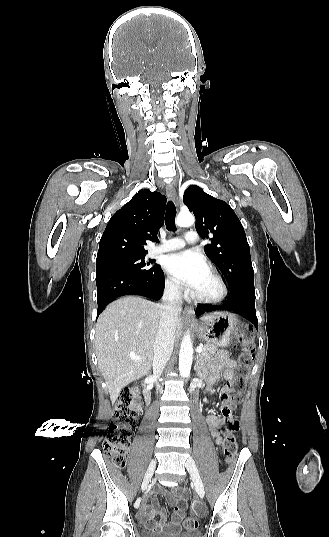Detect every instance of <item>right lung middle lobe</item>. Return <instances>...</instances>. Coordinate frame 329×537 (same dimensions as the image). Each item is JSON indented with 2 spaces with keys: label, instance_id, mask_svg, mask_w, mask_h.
I'll return each instance as SVG.
<instances>
[{
  "label": "right lung middle lobe",
  "instance_id": "right-lung-middle-lobe-1",
  "mask_svg": "<svg viewBox=\"0 0 329 537\" xmlns=\"http://www.w3.org/2000/svg\"><path fill=\"white\" fill-rule=\"evenodd\" d=\"M159 265L154 260L144 261V257L108 261L96 265V272L100 270H118L138 275H152L156 273Z\"/></svg>",
  "mask_w": 329,
  "mask_h": 537
}]
</instances>
